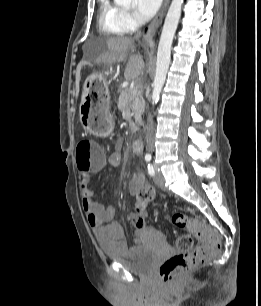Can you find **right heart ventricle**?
Listing matches in <instances>:
<instances>
[{"mask_svg":"<svg viewBox=\"0 0 261 306\" xmlns=\"http://www.w3.org/2000/svg\"><path fill=\"white\" fill-rule=\"evenodd\" d=\"M122 9L113 0H100L98 29L107 35H123L128 29L122 21Z\"/></svg>","mask_w":261,"mask_h":306,"instance_id":"e07e8e85","label":"right heart ventricle"}]
</instances>
